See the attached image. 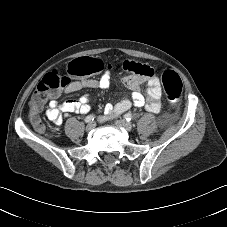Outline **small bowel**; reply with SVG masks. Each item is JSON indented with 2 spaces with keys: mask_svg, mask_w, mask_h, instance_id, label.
Instances as JSON below:
<instances>
[{
  "mask_svg": "<svg viewBox=\"0 0 227 227\" xmlns=\"http://www.w3.org/2000/svg\"><path fill=\"white\" fill-rule=\"evenodd\" d=\"M129 61H123L122 67L128 70ZM147 79L148 88L143 94L139 89V84L142 80ZM122 83L129 91L130 95L123 98L116 104L107 103L104 108V114L107 117L120 116L126 113L132 106L142 107L151 113H158L161 109V87L158 77L154 74L153 77L147 78L140 74L131 73L122 78ZM111 83L110 68H106L101 77L98 79L84 78L72 81L68 87L64 89L65 93H73L82 89H101L107 90ZM92 95L87 93L79 99H69L64 101L52 100L49 107L45 111L46 117L55 125L62 123V113H81L87 114L91 111Z\"/></svg>",
  "mask_w": 227,
  "mask_h": 227,
  "instance_id": "obj_1",
  "label": "small bowel"
}]
</instances>
